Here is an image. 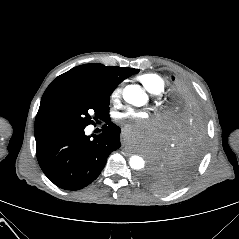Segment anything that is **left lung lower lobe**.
<instances>
[{
	"label": "left lung lower lobe",
	"instance_id": "obj_1",
	"mask_svg": "<svg viewBox=\"0 0 239 239\" xmlns=\"http://www.w3.org/2000/svg\"><path fill=\"white\" fill-rule=\"evenodd\" d=\"M179 119H180V122L183 124V127H185L184 133H187L185 135H187V139L189 140H185V142H181L179 139H182L180 138L182 136H180V134H177V132L169 128L166 136L164 137V141L161 145L159 152L154 156L152 160L151 166L170 167L168 166L166 160H164V159H167V158H164V155H166L164 153L165 152L170 153L168 151H173V154L171 155H179V157H181L185 162H188V163H190V161L191 162L194 161V159H196L197 156L201 153L200 151L203 149L202 148L203 138H204L203 133L205 131L204 115H203L201 104L198 102L186 103L182 107ZM170 175H173L171 178L174 179L176 188L182 185V184H176V183H179L180 181L182 182V179L181 180L178 179V177L180 176H174V174H170Z\"/></svg>",
	"mask_w": 239,
	"mask_h": 239
}]
</instances>
